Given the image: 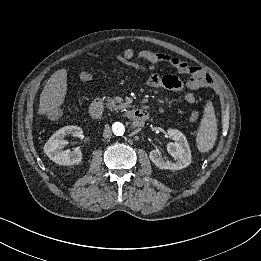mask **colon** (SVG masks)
Here are the masks:
<instances>
[{
    "mask_svg": "<svg viewBox=\"0 0 261 261\" xmlns=\"http://www.w3.org/2000/svg\"><path fill=\"white\" fill-rule=\"evenodd\" d=\"M176 69L179 73L189 76L188 82L190 83V86L195 89L209 88L213 84L211 76L200 66H193L184 61H179ZM46 114L51 119H60L62 117V112L56 108L48 109ZM198 116V112H194L192 113L191 118L195 120Z\"/></svg>",
    "mask_w": 261,
    "mask_h": 261,
    "instance_id": "1",
    "label": "colon"
}]
</instances>
